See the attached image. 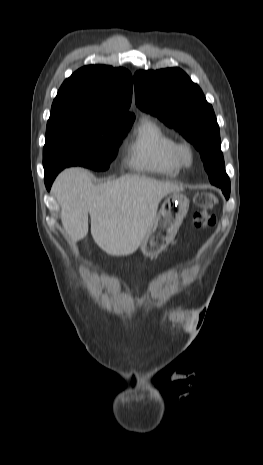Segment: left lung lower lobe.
I'll return each mask as SVG.
<instances>
[{"label":"left lung lower lobe","mask_w":263,"mask_h":465,"mask_svg":"<svg viewBox=\"0 0 263 465\" xmlns=\"http://www.w3.org/2000/svg\"><path fill=\"white\" fill-rule=\"evenodd\" d=\"M202 160L204 162V166L209 175V179L211 183L215 184L216 183L215 173L220 168L219 160L212 155H204L202 156Z\"/></svg>","instance_id":"left-lung-lower-lobe-1"}]
</instances>
